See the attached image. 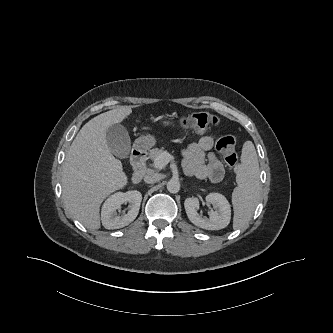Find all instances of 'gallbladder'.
<instances>
[{"label":"gallbladder","mask_w":333,"mask_h":333,"mask_svg":"<svg viewBox=\"0 0 333 333\" xmlns=\"http://www.w3.org/2000/svg\"><path fill=\"white\" fill-rule=\"evenodd\" d=\"M107 145L116 157L128 158L131 150V140L127 129L121 124H113L106 131Z\"/></svg>","instance_id":"bac80fb5"}]
</instances>
